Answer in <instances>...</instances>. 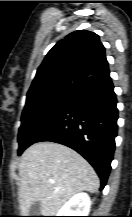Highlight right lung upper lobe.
Returning a JSON list of instances; mask_svg holds the SVG:
<instances>
[{
	"instance_id": "right-lung-upper-lobe-1",
	"label": "right lung upper lobe",
	"mask_w": 132,
	"mask_h": 217,
	"mask_svg": "<svg viewBox=\"0 0 132 217\" xmlns=\"http://www.w3.org/2000/svg\"><path fill=\"white\" fill-rule=\"evenodd\" d=\"M105 48L99 36L87 30L70 33L48 52L27 93L66 91L80 94L109 82Z\"/></svg>"
}]
</instances>
